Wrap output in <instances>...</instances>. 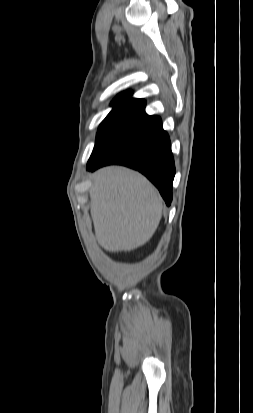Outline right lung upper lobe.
I'll use <instances>...</instances> for the list:
<instances>
[{
  "label": "right lung upper lobe",
  "instance_id": "obj_1",
  "mask_svg": "<svg viewBox=\"0 0 253 413\" xmlns=\"http://www.w3.org/2000/svg\"><path fill=\"white\" fill-rule=\"evenodd\" d=\"M132 92H124L118 95L113 101V109L111 112H133L148 116L145 113L146 102L143 99L132 98ZM157 117V116H148ZM159 118V117H158Z\"/></svg>",
  "mask_w": 253,
  "mask_h": 413
}]
</instances>
